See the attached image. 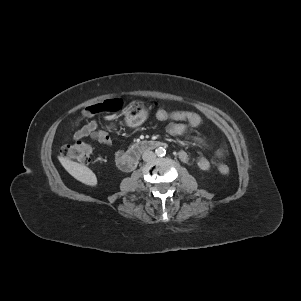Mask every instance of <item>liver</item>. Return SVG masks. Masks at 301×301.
I'll use <instances>...</instances> for the list:
<instances>
[{
	"label": "liver",
	"instance_id": "liver-1",
	"mask_svg": "<svg viewBox=\"0 0 301 301\" xmlns=\"http://www.w3.org/2000/svg\"><path fill=\"white\" fill-rule=\"evenodd\" d=\"M58 159L67 172L80 182L89 186H95L97 184L96 175L85 165L73 162L64 157H58Z\"/></svg>",
	"mask_w": 301,
	"mask_h": 301
}]
</instances>
